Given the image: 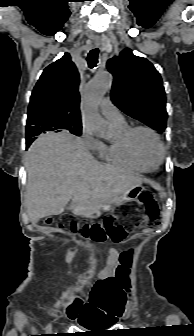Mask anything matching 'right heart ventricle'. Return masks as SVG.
Here are the masks:
<instances>
[{
  "instance_id": "obj_1",
  "label": "right heart ventricle",
  "mask_w": 194,
  "mask_h": 336,
  "mask_svg": "<svg viewBox=\"0 0 194 336\" xmlns=\"http://www.w3.org/2000/svg\"><path fill=\"white\" fill-rule=\"evenodd\" d=\"M114 126L119 131V137L108 143L101 142L97 150L100 159L133 173L141 174L152 171L139 164L128 151L124 141V133L129 128L127 123L114 124Z\"/></svg>"
}]
</instances>
